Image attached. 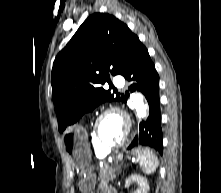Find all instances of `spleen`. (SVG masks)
I'll use <instances>...</instances> for the list:
<instances>
[{"mask_svg": "<svg viewBox=\"0 0 221 193\" xmlns=\"http://www.w3.org/2000/svg\"><path fill=\"white\" fill-rule=\"evenodd\" d=\"M134 153L145 174H152L158 167V158L147 146H138Z\"/></svg>", "mask_w": 221, "mask_h": 193, "instance_id": "3e777b00", "label": "spleen"}]
</instances>
